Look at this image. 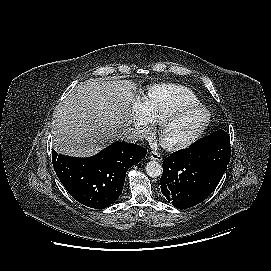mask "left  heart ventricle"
I'll return each mask as SVG.
<instances>
[{"mask_svg":"<svg viewBox=\"0 0 271 271\" xmlns=\"http://www.w3.org/2000/svg\"><path fill=\"white\" fill-rule=\"evenodd\" d=\"M204 119L201 111L186 114L173 121L166 130L165 137L170 141H178L189 136Z\"/></svg>","mask_w":271,"mask_h":271,"instance_id":"left-heart-ventricle-1","label":"left heart ventricle"}]
</instances>
